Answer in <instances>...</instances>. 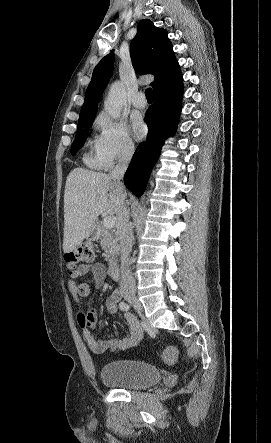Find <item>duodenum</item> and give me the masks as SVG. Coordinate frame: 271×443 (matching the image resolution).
Here are the masks:
<instances>
[{
  "label": "duodenum",
  "instance_id": "duodenum-1",
  "mask_svg": "<svg viewBox=\"0 0 271 443\" xmlns=\"http://www.w3.org/2000/svg\"><path fill=\"white\" fill-rule=\"evenodd\" d=\"M109 272L112 277L119 278L120 276V265L117 261L113 260L109 264Z\"/></svg>",
  "mask_w": 271,
  "mask_h": 443
}]
</instances>
